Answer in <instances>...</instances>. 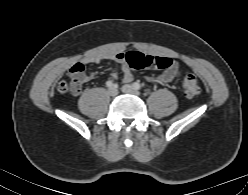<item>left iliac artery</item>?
Listing matches in <instances>:
<instances>
[{
  "label": "left iliac artery",
  "instance_id": "44dca946",
  "mask_svg": "<svg viewBox=\"0 0 248 195\" xmlns=\"http://www.w3.org/2000/svg\"><path fill=\"white\" fill-rule=\"evenodd\" d=\"M133 87L137 90L141 89V85L138 82L133 83Z\"/></svg>",
  "mask_w": 248,
  "mask_h": 195
}]
</instances>
